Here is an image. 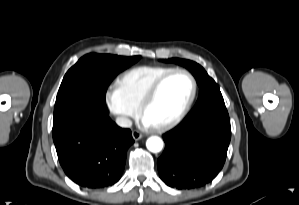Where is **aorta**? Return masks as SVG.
<instances>
[{"label": "aorta", "mask_w": 299, "mask_h": 205, "mask_svg": "<svg viewBox=\"0 0 299 205\" xmlns=\"http://www.w3.org/2000/svg\"><path fill=\"white\" fill-rule=\"evenodd\" d=\"M146 147L149 151L153 153L160 152L163 148V141L160 137L152 136L147 139Z\"/></svg>", "instance_id": "762f6f07"}]
</instances>
